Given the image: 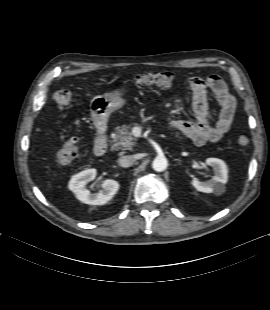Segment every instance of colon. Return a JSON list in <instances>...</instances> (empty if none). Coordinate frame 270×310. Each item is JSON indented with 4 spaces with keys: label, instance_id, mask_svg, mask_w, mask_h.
I'll return each mask as SVG.
<instances>
[{
    "label": "colon",
    "instance_id": "obj_1",
    "mask_svg": "<svg viewBox=\"0 0 270 310\" xmlns=\"http://www.w3.org/2000/svg\"><path fill=\"white\" fill-rule=\"evenodd\" d=\"M174 81V76L170 72L144 73L133 81L136 85H160L170 86ZM53 100L58 108L68 107L73 102V94L68 90L56 91ZM61 146L56 154L58 162L67 164L78 157L79 147L77 138L61 137ZM237 145L241 151H247L250 146V136L247 133H241L236 139Z\"/></svg>",
    "mask_w": 270,
    "mask_h": 310
}]
</instances>
